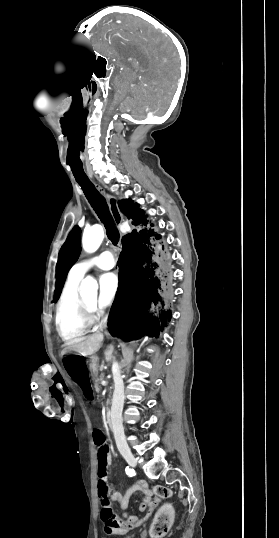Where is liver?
I'll return each mask as SVG.
<instances>
[{"label":"liver","instance_id":"liver-1","mask_svg":"<svg viewBox=\"0 0 279 538\" xmlns=\"http://www.w3.org/2000/svg\"><path fill=\"white\" fill-rule=\"evenodd\" d=\"M103 334H93V336H87L83 342H75V344H66L68 350H73V352H79L81 356H91L98 352L101 342H103ZM109 352L112 354V348Z\"/></svg>","mask_w":279,"mask_h":538}]
</instances>
